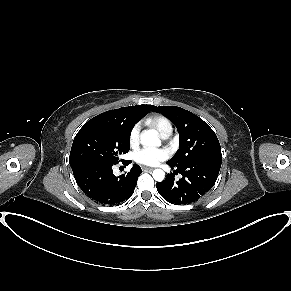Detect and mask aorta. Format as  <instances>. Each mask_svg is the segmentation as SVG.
I'll list each match as a JSON object with an SVG mask.
<instances>
[{
  "mask_svg": "<svg viewBox=\"0 0 291 291\" xmlns=\"http://www.w3.org/2000/svg\"><path fill=\"white\" fill-rule=\"evenodd\" d=\"M141 143L146 146L160 145L161 141L157 136V132L153 130L145 131L140 137ZM155 181L161 182L165 178V173L161 169H155L152 174Z\"/></svg>",
  "mask_w": 291,
  "mask_h": 291,
  "instance_id": "762f6f07",
  "label": "aorta"
}]
</instances>
